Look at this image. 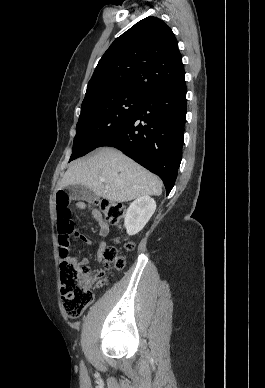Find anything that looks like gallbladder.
Masks as SVG:
<instances>
[{
	"instance_id": "gallbladder-1",
	"label": "gallbladder",
	"mask_w": 265,
	"mask_h": 388,
	"mask_svg": "<svg viewBox=\"0 0 265 388\" xmlns=\"http://www.w3.org/2000/svg\"><path fill=\"white\" fill-rule=\"evenodd\" d=\"M65 190L68 192V196L72 198V200H92V198H96L95 194L89 190V188H85V186H80V184H72V186H66Z\"/></svg>"
}]
</instances>
